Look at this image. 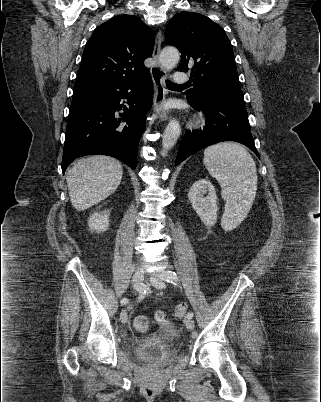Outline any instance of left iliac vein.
<instances>
[{
	"label": "left iliac vein",
	"instance_id": "4c4485c4",
	"mask_svg": "<svg viewBox=\"0 0 321 402\" xmlns=\"http://www.w3.org/2000/svg\"><path fill=\"white\" fill-rule=\"evenodd\" d=\"M164 273H165V271H158V272H155V273H153L151 275L150 280H151V283H152V285L154 287H156L158 289H164L165 288L166 285H165L164 279L162 278ZM184 322L186 324V327L189 330L194 329L195 324H194V321L192 320V318H186Z\"/></svg>",
	"mask_w": 321,
	"mask_h": 402
}]
</instances>
